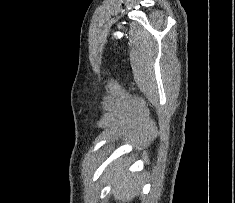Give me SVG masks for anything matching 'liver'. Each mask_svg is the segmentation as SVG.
Instances as JSON below:
<instances>
[{
  "mask_svg": "<svg viewBox=\"0 0 235 203\" xmlns=\"http://www.w3.org/2000/svg\"><path fill=\"white\" fill-rule=\"evenodd\" d=\"M125 163L126 162L121 159L117 160L107 168L106 173H109L111 181L115 182L112 189L115 198L120 201H125L126 199L131 201L134 197L138 196L140 187L136 184V178L134 175L122 176L125 170Z\"/></svg>",
  "mask_w": 235,
  "mask_h": 203,
  "instance_id": "1",
  "label": "liver"
}]
</instances>
